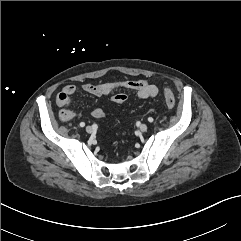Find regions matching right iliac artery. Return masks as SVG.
<instances>
[{"instance_id":"obj_1","label":"right iliac artery","mask_w":241,"mask_h":241,"mask_svg":"<svg viewBox=\"0 0 241 241\" xmlns=\"http://www.w3.org/2000/svg\"><path fill=\"white\" fill-rule=\"evenodd\" d=\"M85 126V123L84 122H81L80 123V127H84Z\"/></svg>"}]
</instances>
